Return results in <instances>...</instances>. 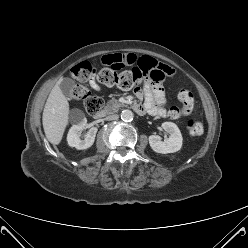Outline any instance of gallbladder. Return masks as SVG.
<instances>
[{
	"instance_id": "1",
	"label": "gallbladder",
	"mask_w": 248,
	"mask_h": 248,
	"mask_svg": "<svg viewBox=\"0 0 248 248\" xmlns=\"http://www.w3.org/2000/svg\"><path fill=\"white\" fill-rule=\"evenodd\" d=\"M75 82L70 79H64L61 84H60V89L62 91V93L66 96V97H71L72 94V90L74 88Z\"/></svg>"
}]
</instances>
